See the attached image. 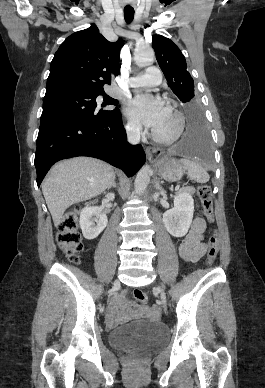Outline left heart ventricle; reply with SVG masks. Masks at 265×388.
Listing matches in <instances>:
<instances>
[{
	"label": "left heart ventricle",
	"instance_id": "left-heart-ventricle-1",
	"mask_svg": "<svg viewBox=\"0 0 265 388\" xmlns=\"http://www.w3.org/2000/svg\"><path fill=\"white\" fill-rule=\"evenodd\" d=\"M140 90L143 92H152L156 91L157 88L155 86H141ZM155 128L161 133H169L173 130L174 121L168 111H166L164 118Z\"/></svg>",
	"mask_w": 265,
	"mask_h": 388
}]
</instances>
